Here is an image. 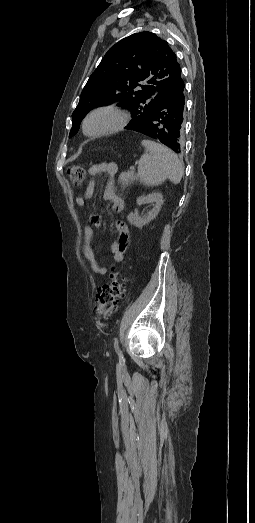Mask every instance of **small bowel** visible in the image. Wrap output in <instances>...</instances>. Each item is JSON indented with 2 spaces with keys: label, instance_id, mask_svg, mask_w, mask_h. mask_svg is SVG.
<instances>
[{
  "label": "small bowel",
  "instance_id": "1",
  "mask_svg": "<svg viewBox=\"0 0 255 523\" xmlns=\"http://www.w3.org/2000/svg\"><path fill=\"white\" fill-rule=\"evenodd\" d=\"M105 168L113 175L116 172V167L114 165H105ZM98 167H93L90 169V175L95 176L98 173ZM95 186L93 182H90L84 196L76 198V204L78 207H84L86 200L91 199L94 195ZM105 197L112 204L113 211L120 213L124 209V201L120 196H118L114 189V183L111 180L107 183L105 190ZM90 223L96 227H101L102 220L100 216L92 214L89 218ZM116 229L118 232L116 240L111 245V253L114 263L109 267L101 266L95 256L94 250L92 248L93 240V229L91 226L86 225L83 228V255L85 259L89 262L92 272L96 275H105L109 270H112L116 264H119L124 259V253L127 249L129 243V229L124 222L118 221L116 223Z\"/></svg>",
  "mask_w": 255,
  "mask_h": 523
}]
</instances>
